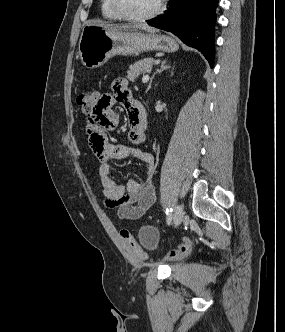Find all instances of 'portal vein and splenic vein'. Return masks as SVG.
Instances as JSON below:
<instances>
[{"instance_id": "obj_1", "label": "portal vein and splenic vein", "mask_w": 285, "mask_h": 332, "mask_svg": "<svg viewBox=\"0 0 285 332\" xmlns=\"http://www.w3.org/2000/svg\"><path fill=\"white\" fill-rule=\"evenodd\" d=\"M148 79H149V75H144V76L142 77V82H143V83H146V82L148 81Z\"/></svg>"}]
</instances>
